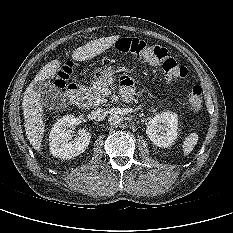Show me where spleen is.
I'll return each mask as SVG.
<instances>
[{
  "instance_id": "3e777b00",
  "label": "spleen",
  "mask_w": 233,
  "mask_h": 233,
  "mask_svg": "<svg viewBox=\"0 0 233 233\" xmlns=\"http://www.w3.org/2000/svg\"><path fill=\"white\" fill-rule=\"evenodd\" d=\"M198 138V134L196 133H191L185 138L182 146L185 156L189 155L193 151L194 147L198 142Z\"/></svg>"
}]
</instances>
